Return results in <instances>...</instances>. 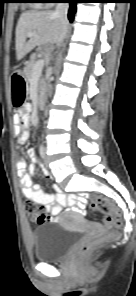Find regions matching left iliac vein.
I'll list each match as a JSON object with an SVG mask.
<instances>
[{"mask_svg":"<svg viewBox=\"0 0 136 296\" xmlns=\"http://www.w3.org/2000/svg\"><path fill=\"white\" fill-rule=\"evenodd\" d=\"M45 166L48 167V161H47L46 156H45Z\"/></svg>","mask_w":136,"mask_h":296,"instance_id":"1","label":"left iliac vein"}]
</instances>
